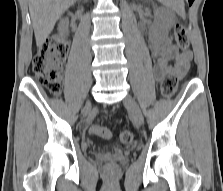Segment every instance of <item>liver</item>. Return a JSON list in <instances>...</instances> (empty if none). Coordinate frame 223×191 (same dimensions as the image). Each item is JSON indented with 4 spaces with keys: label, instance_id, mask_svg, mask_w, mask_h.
Segmentation results:
<instances>
[{
    "label": "liver",
    "instance_id": "obj_1",
    "mask_svg": "<svg viewBox=\"0 0 223 191\" xmlns=\"http://www.w3.org/2000/svg\"><path fill=\"white\" fill-rule=\"evenodd\" d=\"M77 0H29V11L39 48L43 46L55 23Z\"/></svg>",
    "mask_w": 223,
    "mask_h": 191
}]
</instances>
